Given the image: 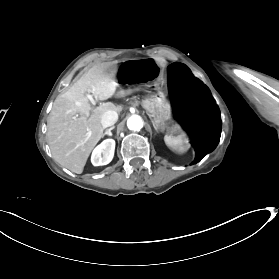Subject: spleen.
Here are the masks:
<instances>
[{
    "label": "spleen",
    "mask_w": 279,
    "mask_h": 279,
    "mask_svg": "<svg viewBox=\"0 0 279 279\" xmlns=\"http://www.w3.org/2000/svg\"><path fill=\"white\" fill-rule=\"evenodd\" d=\"M165 144L174 151L183 152L187 149V139L185 133H181L178 136L165 135Z\"/></svg>",
    "instance_id": "obj_1"
}]
</instances>
